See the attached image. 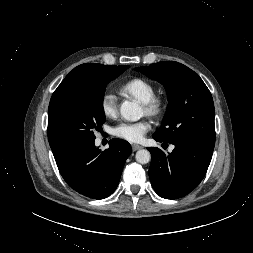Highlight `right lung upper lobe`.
<instances>
[{"label":"right lung upper lobe","mask_w":253,"mask_h":253,"mask_svg":"<svg viewBox=\"0 0 253 253\" xmlns=\"http://www.w3.org/2000/svg\"><path fill=\"white\" fill-rule=\"evenodd\" d=\"M117 66L114 65H103L98 63H86L75 67L61 82L58 86V89L78 85L85 84L90 82L95 78V76L100 72L111 71L115 69ZM52 151L57 150L58 148H51Z\"/></svg>","instance_id":"1"}]
</instances>
